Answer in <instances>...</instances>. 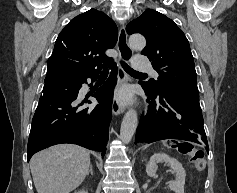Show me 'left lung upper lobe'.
<instances>
[{"label":"left lung upper lobe","mask_w":237,"mask_h":193,"mask_svg":"<svg viewBox=\"0 0 237 193\" xmlns=\"http://www.w3.org/2000/svg\"><path fill=\"white\" fill-rule=\"evenodd\" d=\"M129 34L141 33L147 44L141 54L152 61L158 80L143 82L156 93L173 90L198 92L197 75L189 42L182 30L165 15L147 9L131 21Z\"/></svg>","instance_id":"5c2ea615"}]
</instances>
